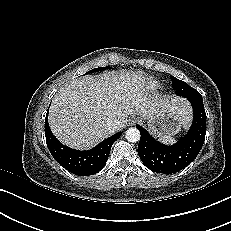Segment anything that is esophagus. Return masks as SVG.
<instances>
[{
  "label": "esophagus",
  "instance_id": "esophagus-1",
  "mask_svg": "<svg viewBox=\"0 0 231 231\" xmlns=\"http://www.w3.org/2000/svg\"><path fill=\"white\" fill-rule=\"evenodd\" d=\"M137 121L138 119L136 117H132L131 119H129V124L134 125Z\"/></svg>",
  "mask_w": 231,
  "mask_h": 231
}]
</instances>
